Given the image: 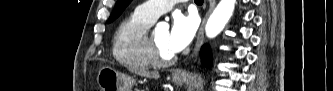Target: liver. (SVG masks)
I'll return each instance as SVG.
<instances>
[{
  "label": "liver",
  "mask_w": 333,
  "mask_h": 91,
  "mask_svg": "<svg viewBox=\"0 0 333 91\" xmlns=\"http://www.w3.org/2000/svg\"><path fill=\"white\" fill-rule=\"evenodd\" d=\"M136 74L146 77V78H152V79H158L160 77L159 72L156 71H146V70H137L135 71Z\"/></svg>",
  "instance_id": "obj_1"
}]
</instances>
